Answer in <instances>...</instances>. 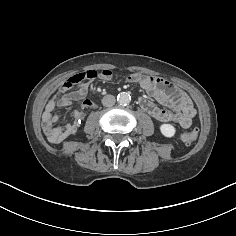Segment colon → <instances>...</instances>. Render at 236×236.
<instances>
[{
	"label": "colon",
	"mask_w": 236,
	"mask_h": 236,
	"mask_svg": "<svg viewBox=\"0 0 236 236\" xmlns=\"http://www.w3.org/2000/svg\"><path fill=\"white\" fill-rule=\"evenodd\" d=\"M101 75L111 77L112 76V72L109 71V70H104V71L101 72ZM126 78L129 81H135L136 80V76L134 74L128 75ZM197 136H198L197 130H193V131L184 133L182 135V140L185 143H190V142L196 140Z\"/></svg>",
	"instance_id": "colon-1"
}]
</instances>
